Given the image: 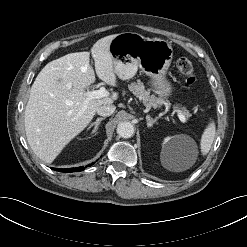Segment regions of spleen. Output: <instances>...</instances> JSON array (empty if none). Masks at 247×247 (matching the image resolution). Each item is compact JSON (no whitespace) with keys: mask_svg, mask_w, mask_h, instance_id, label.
I'll use <instances>...</instances> for the list:
<instances>
[{"mask_svg":"<svg viewBox=\"0 0 247 247\" xmlns=\"http://www.w3.org/2000/svg\"><path fill=\"white\" fill-rule=\"evenodd\" d=\"M215 134H216V126H215V122L212 120L204 129V132L201 137L200 150L202 155H206L210 151L215 138Z\"/></svg>","mask_w":247,"mask_h":247,"instance_id":"spleen-1","label":"spleen"}]
</instances>
